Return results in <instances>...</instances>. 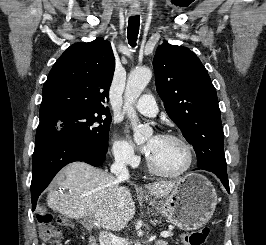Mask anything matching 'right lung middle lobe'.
<instances>
[{
	"label": "right lung middle lobe",
	"instance_id": "dd1d6c3e",
	"mask_svg": "<svg viewBox=\"0 0 266 245\" xmlns=\"http://www.w3.org/2000/svg\"><path fill=\"white\" fill-rule=\"evenodd\" d=\"M110 123L109 112L102 108L64 111L46 120H40L36 143L56 135H66L107 152Z\"/></svg>",
	"mask_w": 266,
	"mask_h": 245
}]
</instances>
